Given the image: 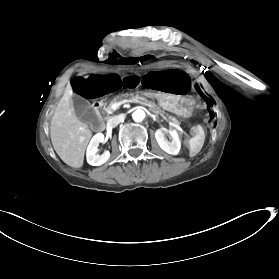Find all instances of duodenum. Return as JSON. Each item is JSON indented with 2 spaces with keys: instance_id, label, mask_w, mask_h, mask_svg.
<instances>
[{
  "instance_id": "obj_1",
  "label": "duodenum",
  "mask_w": 279,
  "mask_h": 279,
  "mask_svg": "<svg viewBox=\"0 0 279 279\" xmlns=\"http://www.w3.org/2000/svg\"><path fill=\"white\" fill-rule=\"evenodd\" d=\"M136 95H141V92H136ZM142 96L144 98H148V99H151V98L157 99L159 97V94L157 92L144 91L142 93ZM91 108L93 111H95V113H97V116H98V118H100V122H101L99 127H97V133H102V130H104L106 127L105 116H103V112H102V110L104 108V103L100 99H95L91 103Z\"/></svg>"
}]
</instances>
